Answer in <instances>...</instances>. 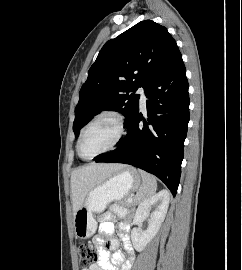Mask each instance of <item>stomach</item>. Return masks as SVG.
I'll return each mask as SVG.
<instances>
[{"label":"stomach","mask_w":242,"mask_h":270,"mask_svg":"<svg viewBox=\"0 0 242 270\" xmlns=\"http://www.w3.org/2000/svg\"><path fill=\"white\" fill-rule=\"evenodd\" d=\"M141 186L138 171L126 166L94 187L87 194L83 206L74 215V232L76 237L87 239L97 228L94 214L101 213L112 201H120Z\"/></svg>","instance_id":"stomach-1"}]
</instances>
